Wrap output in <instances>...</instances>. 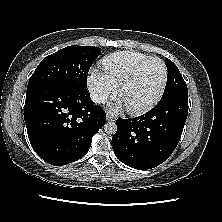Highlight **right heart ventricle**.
Masks as SVG:
<instances>
[{"instance_id":"1","label":"right heart ventricle","mask_w":222,"mask_h":222,"mask_svg":"<svg viewBox=\"0 0 222 222\" xmlns=\"http://www.w3.org/2000/svg\"><path fill=\"white\" fill-rule=\"evenodd\" d=\"M150 56L135 51H120L107 55L101 61L102 68L112 83L119 87L122 81L143 60Z\"/></svg>"}]
</instances>
